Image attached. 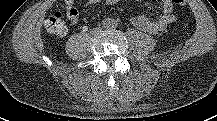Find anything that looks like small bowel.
Wrapping results in <instances>:
<instances>
[{
	"instance_id": "c3829d8e",
	"label": "small bowel",
	"mask_w": 217,
	"mask_h": 121,
	"mask_svg": "<svg viewBox=\"0 0 217 121\" xmlns=\"http://www.w3.org/2000/svg\"><path fill=\"white\" fill-rule=\"evenodd\" d=\"M102 0H88V4L98 3ZM127 1V0H104V2L108 5H115L117 3ZM143 1V0H136ZM161 4L162 14L155 20H151L144 15H138L133 17L132 23L148 32V33H156L162 29H164L168 24L172 23L175 20L174 9L170 0H158ZM75 0H64V4L66 7V16L72 24H76L79 19V11L74 6Z\"/></svg>"
}]
</instances>
